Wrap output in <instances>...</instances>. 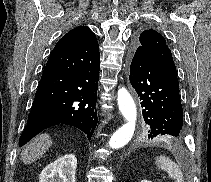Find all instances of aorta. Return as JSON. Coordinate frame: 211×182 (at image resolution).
<instances>
[{"label":"aorta","mask_w":211,"mask_h":182,"mask_svg":"<svg viewBox=\"0 0 211 182\" xmlns=\"http://www.w3.org/2000/svg\"><path fill=\"white\" fill-rule=\"evenodd\" d=\"M117 103L126 123L111 136L109 146L113 149L122 148L131 140L135 131L137 118L134 100L124 87L118 90Z\"/></svg>","instance_id":"obj_1"}]
</instances>
